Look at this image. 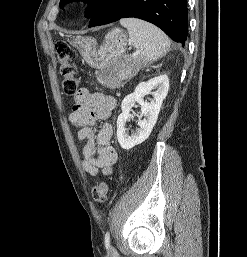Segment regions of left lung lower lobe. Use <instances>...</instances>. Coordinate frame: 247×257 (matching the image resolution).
<instances>
[{
    "label": "left lung lower lobe",
    "instance_id": "0a47b994",
    "mask_svg": "<svg viewBox=\"0 0 247 257\" xmlns=\"http://www.w3.org/2000/svg\"><path fill=\"white\" fill-rule=\"evenodd\" d=\"M135 17L162 29L182 46L187 40V0H104L91 16L89 27Z\"/></svg>",
    "mask_w": 247,
    "mask_h": 257
}]
</instances>
